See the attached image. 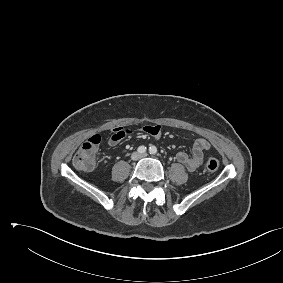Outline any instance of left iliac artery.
Wrapping results in <instances>:
<instances>
[{"label": "left iliac artery", "instance_id": "1", "mask_svg": "<svg viewBox=\"0 0 283 283\" xmlns=\"http://www.w3.org/2000/svg\"><path fill=\"white\" fill-rule=\"evenodd\" d=\"M149 152H150V154H156L157 153V148L155 147V146H150L149 147Z\"/></svg>", "mask_w": 283, "mask_h": 283}]
</instances>
